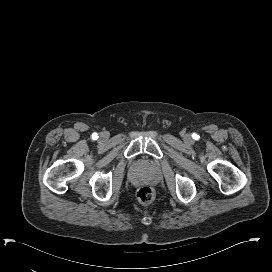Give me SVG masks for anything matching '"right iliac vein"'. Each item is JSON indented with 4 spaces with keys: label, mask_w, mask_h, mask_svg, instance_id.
Returning <instances> with one entry per match:
<instances>
[{
    "label": "right iliac vein",
    "mask_w": 272,
    "mask_h": 272,
    "mask_svg": "<svg viewBox=\"0 0 272 272\" xmlns=\"http://www.w3.org/2000/svg\"><path fill=\"white\" fill-rule=\"evenodd\" d=\"M106 137H107V135H106L105 133H101V134H100V138H101V139H105Z\"/></svg>",
    "instance_id": "1"
}]
</instances>
